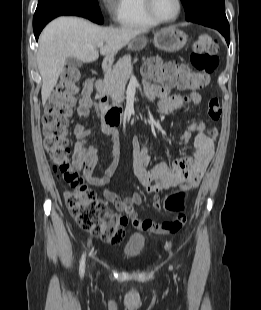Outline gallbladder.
<instances>
[{
  "mask_svg": "<svg viewBox=\"0 0 261 310\" xmlns=\"http://www.w3.org/2000/svg\"><path fill=\"white\" fill-rule=\"evenodd\" d=\"M66 64L69 66V67H81L82 63L80 60L76 59L75 57H68L66 59Z\"/></svg>",
  "mask_w": 261,
  "mask_h": 310,
  "instance_id": "bac80fb5",
  "label": "gallbladder"
}]
</instances>
